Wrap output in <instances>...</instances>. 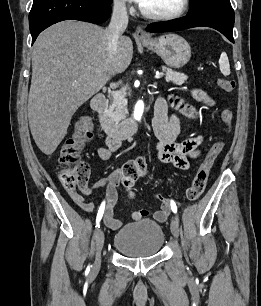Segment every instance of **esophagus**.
Segmentation results:
<instances>
[{
    "instance_id": "34e87169",
    "label": "esophagus",
    "mask_w": 261,
    "mask_h": 306,
    "mask_svg": "<svg viewBox=\"0 0 261 306\" xmlns=\"http://www.w3.org/2000/svg\"><path fill=\"white\" fill-rule=\"evenodd\" d=\"M135 37L139 40H149L150 39L149 35L140 26H138L136 29Z\"/></svg>"
}]
</instances>
